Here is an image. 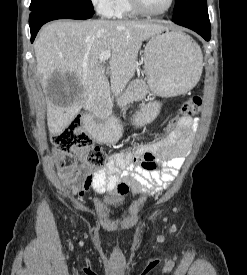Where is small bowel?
I'll list each match as a JSON object with an SVG mask.
<instances>
[{
	"mask_svg": "<svg viewBox=\"0 0 247 275\" xmlns=\"http://www.w3.org/2000/svg\"><path fill=\"white\" fill-rule=\"evenodd\" d=\"M197 118L183 117L176 130L166 139L140 146L134 155L122 152L113 153L106 167L90 171L81 158H72L64 152L54 153V164L58 177L69 193L85 198L88 191L97 195L104 193L119 194L121 183L132 188L136 195L154 196L166 189L185 161L189 152L194 131L198 125ZM90 125V119H87Z\"/></svg>",
	"mask_w": 247,
	"mask_h": 275,
	"instance_id": "1",
	"label": "small bowel"
}]
</instances>
